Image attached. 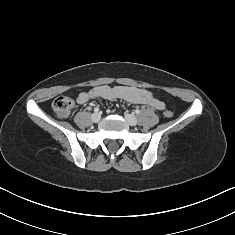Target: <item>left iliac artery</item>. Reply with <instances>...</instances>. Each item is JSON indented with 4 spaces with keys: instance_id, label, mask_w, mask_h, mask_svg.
Instances as JSON below:
<instances>
[{
    "instance_id": "1",
    "label": "left iliac artery",
    "mask_w": 235,
    "mask_h": 235,
    "mask_svg": "<svg viewBox=\"0 0 235 235\" xmlns=\"http://www.w3.org/2000/svg\"><path fill=\"white\" fill-rule=\"evenodd\" d=\"M135 113H136V114H139V113H140V110H139V109H136V110H135Z\"/></svg>"
}]
</instances>
